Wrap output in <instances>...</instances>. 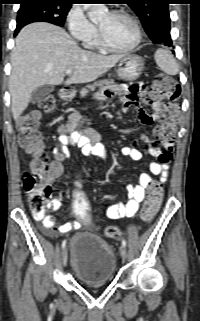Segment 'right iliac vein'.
Returning a JSON list of instances; mask_svg holds the SVG:
<instances>
[{
  "mask_svg": "<svg viewBox=\"0 0 200 321\" xmlns=\"http://www.w3.org/2000/svg\"><path fill=\"white\" fill-rule=\"evenodd\" d=\"M67 262V249L65 248L63 251H62V263L63 265H65Z\"/></svg>",
  "mask_w": 200,
  "mask_h": 321,
  "instance_id": "obj_1",
  "label": "right iliac vein"
}]
</instances>
